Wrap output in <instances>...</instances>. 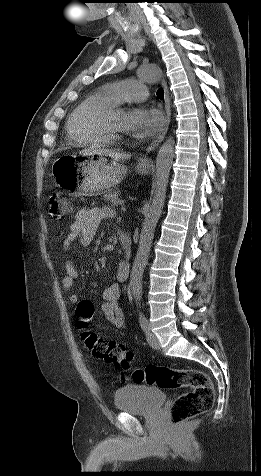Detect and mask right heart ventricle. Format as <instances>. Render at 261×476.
<instances>
[{
    "label": "right heart ventricle",
    "instance_id": "e07e8e85",
    "mask_svg": "<svg viewBox=\"0 0 261 476\" xmlns=\"http://www.w3.org/2000/svg\"><path fill=\"white\" fill-rule=\"evenodd\" d=\"M117 104L104 89L82 100L67 119L66 131L71 143L77 146L109 143L112 138L100 129L99 118Z\"/></svg>",
    "mask_w": 261,
    "mask_h": 476
}]
</instances>
